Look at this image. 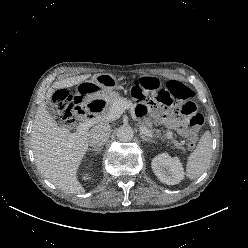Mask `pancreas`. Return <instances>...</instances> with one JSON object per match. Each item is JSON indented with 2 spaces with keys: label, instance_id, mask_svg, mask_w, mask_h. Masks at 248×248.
I'll return each instance as SVG.
<instances>
[{
  "label": "pancreas",
  "instance_id": "pancreas-1",
  "mask_svg": "<svg viewBox=\"0 0 248 248\" xmlns=\"http://www.w3.org/2000/svg\"><path fill=\"white\" fill-rule=\"evenodd\" d=\"M118 101H125L129 105L131 104V101L127 100L126 98L120 97L118 94L114 93L111 98L108 100L105 111L107 112L111 106ZM139 126L148 129L150 133H156L157 137H160V130H156L152 126V122L149 118H144L139 120ZM163 140H170L176 148L182 150V152H185V148L183 147L184 141L178 142L173 138V132L167 131L166 134L162 137Z\"/></svg>",
  "mask_w": 248,
  "mask_h": 248
}]
</instances>
